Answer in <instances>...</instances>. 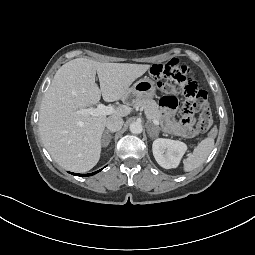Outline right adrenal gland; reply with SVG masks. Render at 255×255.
Returning <instances> with one entry per match:
<instances>
[{
	"label": "right adrenal gland",
	"instance_id": "right-adrenal-gland-1",
	"mask_svg": "<svg viewBox=\"0 0 255 255\" xmlns=\"http://www.w3.org/2000/svg\"><path fill=\"white\" fill-rule=\"evenodd\" d=\"M106 137H107V141L104 142V139H105ZM111 139H112V136L110 135V131L106 130V131L104 132V135H103V139H102L103 144H102V146H103V147L108 146V144L110 143Z\"/></svg>",
	"mask_w": 255,
	"mask_h": 255
}]
</instances>
